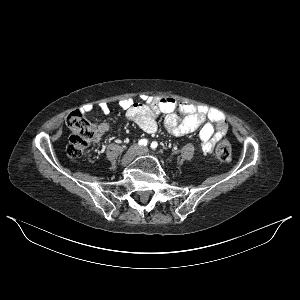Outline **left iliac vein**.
<instances>
[{"label": "left iliac vein", "mask_w": 300, "mask_h": 300, "mask_svg": "<svg viewBox=\"0 0 300 300\" xmlns=\"http://www.w3.org/2000/svg\"><path fill=\"white\" fill-rule=\"evenodd\" d=\"M147 152H148L147 148H140L138 153H139V155H146Z\"/></svg>", "instance_id": "left-iliac-vein-1"}]
</instances>
